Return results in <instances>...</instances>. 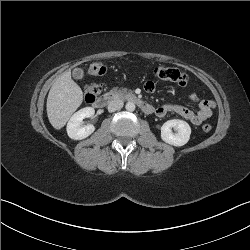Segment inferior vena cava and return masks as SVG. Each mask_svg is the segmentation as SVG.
I'll return each mask as SVG.
<instances>
[{"label": "inferior vena cava", "mask_w": 250, "mask_h": 250, "mask_svg": "<svg viewBox=\"0 0 250 250\" xmlns=\"http://www.w3.org/2000/svg\"><path fill=\"white\" fill-rule=\"evenodd\" d=\"M124 103L122 100H112L108 104V111L115 112L116 110H120L123 107Z\"/></svg>", "instance_id": "602c4592"}]
</instances>
